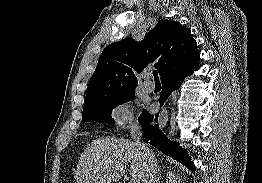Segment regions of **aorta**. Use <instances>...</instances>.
<instances>
[{"label":"aorta","instance_id":"1","mask_svg":"<svg viewBox=\"0 0 262 183\" xmlns=\"http://www.w3.org/2000/svg\"><path fill=\"white\" fill-rule=\"evenodd\" d=\"M167 121H168V114H167V111L164 110L160 116H159V120H158V123H159V126L161 128H164L167 124Z\"/></svg>","mask_w":262,"mask_h":183}]
</instances>
